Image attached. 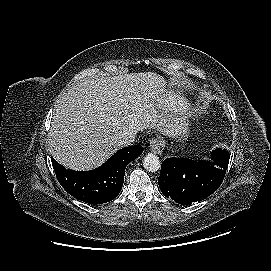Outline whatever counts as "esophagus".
Returning a JSON list of instances; mask_svg holds the SVG:
<instances>
[{
  "label": "esophagus",
  "instance_id": "34e87169",
  "mask_svg": "<svg viewBox=\"0 0 271 271\" xmlns=\"http://www.w3.org/2000/svg\"><path fill=\"white\" fill-rule=\"evenodd\" d=\"M149 146L152 152L161 155L162 154V145L160 140H158L157 138H153L150 140L149 142Z\"/></svg>",
  "mask_w": 271,
  "mask_h": 271
}]
</instances>
